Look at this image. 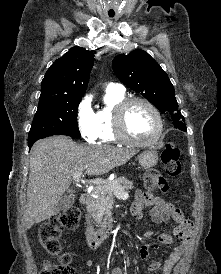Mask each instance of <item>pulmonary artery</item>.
<instances>
[{"label":"pulmonary artery","mask_w":221,"mask_h":274,"mask_svg":"<svg viewBox=\"0 0 221 274\" xmlns=\"http://www.w3.org/2000/svg\"><path fill=\"white\" fill-rule=\"evenodd\" d=\"M107 90H113V91H119V92H124V87L123 85L119 83H109L107 85Z\"/></svg>","instance_id":"1"}]
</instances>
